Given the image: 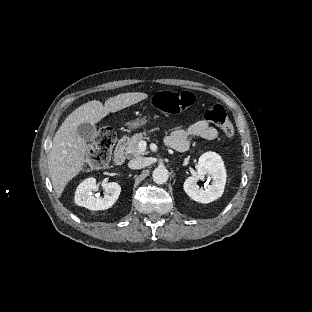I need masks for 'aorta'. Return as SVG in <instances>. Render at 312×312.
Returning a JSON list of instances; mask_svg holds the SVG:
<instances>
[{"label":"aorta","mask_w":312,"mask_h":312,"mask_svg":"<svg viewBox=\"0 0 312 312\" xmlns=\"http://www.w3.org/2000/svg\"><path fill=\"white\" fill-rule=\"evenodd\" d=\"M153 181L157 184H163L167 182L168 177H169V172L164 166H158L154 171H153Z\"/></svg>","instance_id":"1"}]
</instances>
